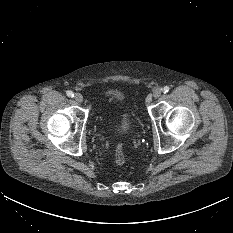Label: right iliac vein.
<instances>
[{
    "label": "right iliac vein",
    "mask_w": 233,
    "mask_h": 233,
    "mask_svg": "<svg viewBox=\"0 0 233 233\" xmlns=\"http://www.w3.org/2000/svg\"><path fill=\"white\" fill-rule=\"evenodd\" d=\"M74 99H75L77 102H79V103L83 102V96H82V94H80V93H76V94L74 95Z\"/></svg>",
    "instance_id": "63e3f726"
}]
</instances>
